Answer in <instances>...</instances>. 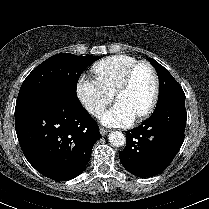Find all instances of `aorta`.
<instances>
[{
  "mask_svg": "<svg viewBox=\"0 0 209 209\" xmlns=\"http://www.w3.org/2000/svg\"><path fill=\"white\" fill-rule=\"evenodd\" d=\"M108 140L115 147H121L126 142L124 134L120 131H112L109 133Z\"/></svg>",
  "mask_w": 209,
  "mask_h": 209,
  "instance_id": "762f6f07",
  "label": "aorta"
}]
</instances>
